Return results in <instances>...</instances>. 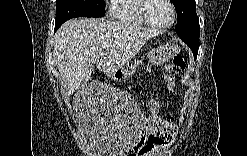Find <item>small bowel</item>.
<instances>
[{"instance_id": "obj_1", "label": "small bowel", "mask_w": 247, "mask_h": 156, "mask_svg": "<svg viewBox=\"0 0 247 156\" xmlns=\"http://www.w3.org/2000/svg\"><path fill=\"white\" fill-rule=\"evenodd\" d=\"M149 108L151 113H154L155 110H161L159 103L155 101H151L149 103ZM162 120L163 123L161 125V130H158L157 135L153 137H146L142 135V137L138 140L140 146L130 152L131 155L141 156L151 153H161L170 146L177 134L178 128L174 122L168 120L164 115Z\"/></svg>"}]
</instances>
